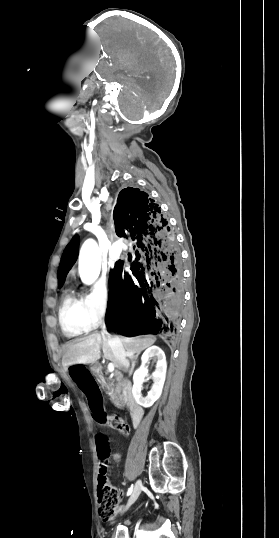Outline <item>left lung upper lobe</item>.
<instances>
[{
    "mask_svg": "<svg viewBox=\"0 0 279 538\" xmlns=\"http://www.w3.org/2000/svg\"><path fill=\"white\" fill-rule=\"evenodd\" d=\"M78 249H79V237L74 236L71 242L65 248L64 253L62 255V259H61V263H60L59 271H58L59 288L62 287L68 271L77 260Z\"/></svg>",
    "mask_w": 279,
    "mask_h": 538,
    "instance_id": "obj_1",
    "label": "left lung upper lobe"
}]
</instances>
